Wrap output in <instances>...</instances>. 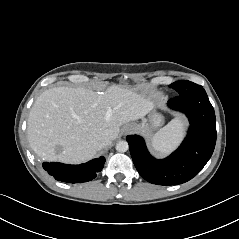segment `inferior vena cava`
Instances as JSON below:
<instances>
[{
	"mask_svg": "<svg viewBox=\"0 0 239 239\" xmlns=\"http://www.w3.org/2000/svg\"><path fill=\"white\" fill-rule=\"evenodd\" d=\"M110 140L108 138H103L99 143V148H104L110 144Z\"/></svg>",
	"mask_w": 239,
	"mask_h": 239,
	"instance_id": "602c4592",
	"label": "inferior vena cava"
}]
</instances>
